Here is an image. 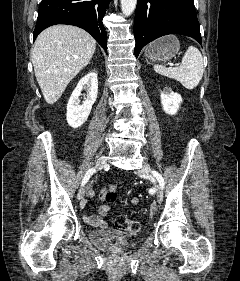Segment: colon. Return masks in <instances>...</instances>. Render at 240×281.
<instances>
[{"label":"colon","mask_w":240,"mask_h":281,"mask_svg":"<svg viewBox=\"0 0 240 281\" xmlns=\"http://www.w3.org/2000/svg\"><path fill=\"white\" fill-rule=\"evenodd\" d=\"M103 197L105 201L109 203L114 202L117 198L116 186L114 184L108 185V187L104 190ZM114 224L117 228L130 232H138L141 228L139 222L130 220L124 215H117L114 218Z\"/></svg>","instance_id":"obj_1"}]
</instances>
